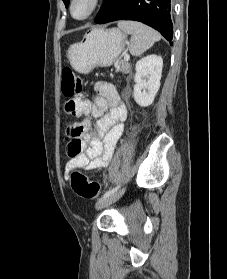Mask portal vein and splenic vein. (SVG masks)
I'll return each instance as SVG.
<instances>
[{
    "mask_svg": "<svg viewBox=\"0 0 227 279\" xmlns=\"http://www.w3.org/2000/svg\"><path fill=\"white\" fill-rule=\"evenodd\" d=\"M129 59H130L129 54L125 53V54H124V60H125V61H129Z\"/></svg>",
    "mask_w": 227,
    "mask_h": 279,
    "instance_id": "portal-vein-and-splenic-vein-1",
    "label": "portal vein and splenic vein"
}]
</instances>
